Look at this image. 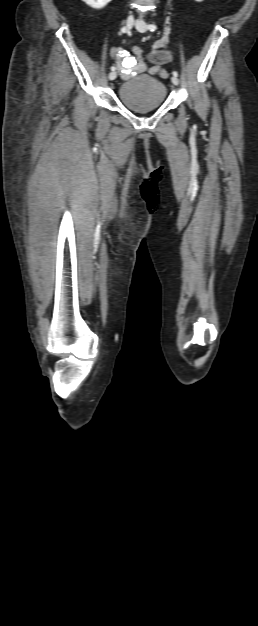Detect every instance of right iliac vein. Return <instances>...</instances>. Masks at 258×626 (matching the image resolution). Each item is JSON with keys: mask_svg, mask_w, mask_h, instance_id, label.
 Wrapping results in <instances>:
<instances>
[{"mask_svg": "<svg viewBox=\"0 0 258 626\" xmlns=\"http://www.w3.org/2000/svg\"><path fill=\"white\" fill-rule=\"evenodd\" d=\"M134 23H135V20H134L133 17H128L127 18L126 26H127L128 29H131L133 27ZM116 77H117V72L116 71H112V72L109 73V76H108L109 80H111V81L115 80Z\"/></svg>", "mask_w": 258, "mask_h": 626, "instance_id": "1", "label": "right iliac vein"}]
</instances>
